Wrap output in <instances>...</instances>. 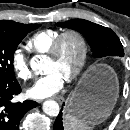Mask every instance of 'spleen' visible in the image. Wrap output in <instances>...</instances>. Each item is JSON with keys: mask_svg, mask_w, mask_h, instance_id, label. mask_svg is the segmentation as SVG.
Listing matches in <instances>:
<instances>
[{"mask_svg": "<svg viewBox=\"0 0 130 130\" xmlns=\"http://www.w3.org/2000/svg\"><path fill=\"white\" fill-rule=\"evenodd\" d=\"M65 130H90L91 127L76 117L65 115Z\"/></svg>", "mask_w": 130, "mask_h": 130, "instance_id": "1", "label": "spleen"}]
</instances>
